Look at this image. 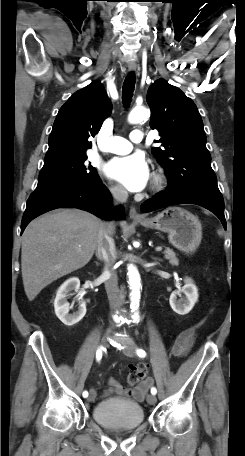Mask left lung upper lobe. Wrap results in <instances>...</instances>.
<instances>
[{
    "label": "left lung upper lobe",
    "instance_id": "left-lung-upper-lobe-1",
    "mask_svg": "<svg viewBox=\"0 0 245 456\" xmlns=\"http://www.w3.org/2000/svg\"><path fill=\"white\" fill-rule=\"evenodd\" d=\"M152 115L150 127L159 131L161 147L151 149L165 169L169 186L219 191L206 148L203 122L194 102L164 79L147 92Z\"/></svg>",
    "mask_w": 245,
    "mask_h": 456
}]
</instances>
